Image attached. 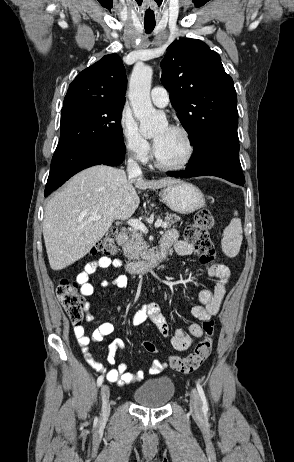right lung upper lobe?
I'll return each instance as SVG.
<instances>
[{"label":"right lung upper lobe","instance_id":"cb5924a9","mask_svg":"<svg viewBox=\"0 0 294 462\" xmlns=\"http://www.w3.org/2000/svg\"><path fill=\"white\" fill-rule=\"evenodd\" d=\"M126 85L120 56L109 54L76 76L69 85L64 104L77 100L125 101Z\"/></svg>","mask_w":294,"mask_h":462}]
</instances>
